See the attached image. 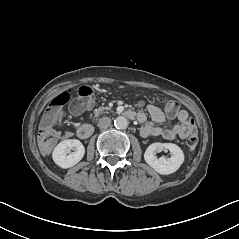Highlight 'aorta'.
Returning a JSON list of instances; mask_svg holds the SVG:
<instances>
[{
  "label": "aorta",
  "mask_w": 239,
  "mask_h": 239,
  "mask_svg": "<svg viewBox=\"0 0 239 239\" xmlns=\"http://www.w3.org/2000/svg\"><path fill=\"white\" fill-rule=\"evenodd\" d=\"M115 127L117 129H126L128 127V120L124 116H118L114 121Z\"/></svg>",
  "instance_id": "762f6f07"
}]
</instances>
